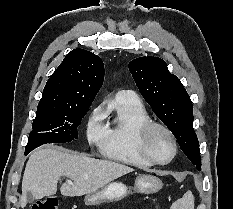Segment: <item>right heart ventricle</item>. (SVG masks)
I'll list each match as a JSON object with an SVG mask.
<instances>
[{"label":"right heart ventricle","mask_w":233,"mask_h":209,"mask_svg":"<svg viewBox=\"0 0 233 209\" xmlns=\"http://www.w3.org/2000/svg\"><path fill=\"white\" fill-rule=\"evenodd\" d=\"M104 114H113V118L104 126L106 135L100 144L102 155L136 167L151 166L152 163L141 156L137 146L138 128L150 120L142 102L127 92H118L108 101Z\"/></svg>","instance_id":"e07e8e85"}]
</instances>
